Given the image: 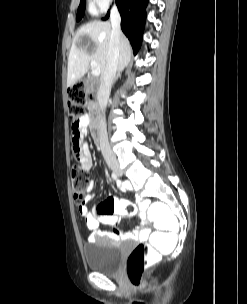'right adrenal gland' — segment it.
<instances>
[{
  "instance_id": "obj_1",
  "label": "right adrenal gland",
  "mask_w": 247,
  "mask_h": 304,
  "mask_svg": "<svg viewBox=\"0 0 247 304\" xmlns=\"http://www.w3.org/2000/svg\"><path fill=\"white\" fill-rule=\"evenodd\" d=\"M121 72H122L121 70H119V71L117 72V74H116V76H115V78H114L112 84H114V83L117 81V79L121 77Z\"/></svg>"
}]
</instances>
